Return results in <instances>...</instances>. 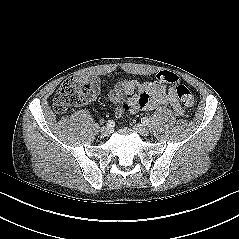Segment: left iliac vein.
Listing matches in <instances>:
<instances>
[{
	"label": "left iliac vein",
	"instance_id": "left-iliac-vein-1",
	"mask_svg": "<svg viewBox=\"0 0 239 239\" xmlns=\"http://www.w3.org/2000/svg\"><path fill=\"white\" fill-rule=\"evenodd\" d=\"M134 130L142 136H148L149 135V130L145 126H143L142 124H135L134 125Z\"/></svg>",
	"mask_w": 239,
	"mask_h": 239
}]
</instances>
